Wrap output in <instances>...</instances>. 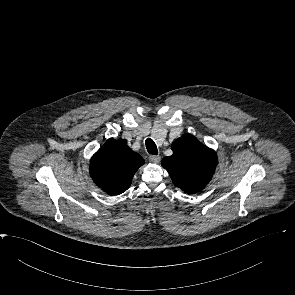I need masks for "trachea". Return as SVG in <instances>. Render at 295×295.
Listing matches in <instances>:
<instances>
[{
	"label": "trachea",
	"instance_id": "obj_1",
	"mask_svg": "<svg viewBox=\"0 0 295 295\" xmlns=\"http://www.w3.org/2000/svg\"><path fill=\"white\" fill-rule=\"evenodd\" d=\"M145 144H146V148H147L148 153H150L152 155L158 154L156 144L151 138L146 139Z\"/></svg>",
	"mask_w": 295,
	"mask_h": 295
}]
</instances>
